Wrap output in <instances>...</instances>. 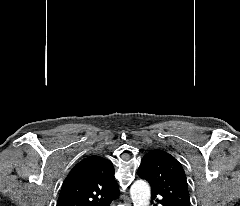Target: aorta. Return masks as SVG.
Segmentation results:
<instances>
[{
  "label": "aorta",
  "mask_w": 240,
  "mask_h": 206,
  "mask_svg": "<svg viewBox=\"0 0 240 206\" xmlns=\"http://www.w3.org/2000/svg\"><path fill=\"white\" fill-rule=\"evenodd\" d=\"M130 195L134 206H149L151 192L146 181H135L130 188Z\"/></svg>",
  "instance_id": "obj_1"
}]
</instances>
